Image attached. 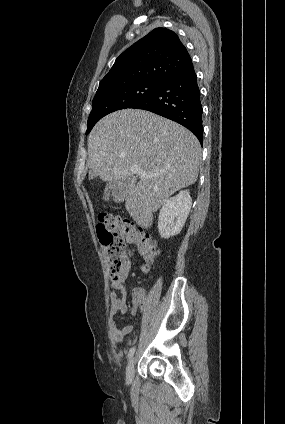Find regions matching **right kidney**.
<instances>
[{"mask_svg":"<svg viewBox=\"0 0 285 424\" xmlns=\"http://www.w3.org/2000/svg\"><path fill=\"white\" fill-rule=\"evenodd\" d=\"M191 206L189 190L180 191L176 196L164 201L158 218V230L162 238L169 239L180 233Z\"/></svg>","mask_w":285,"mask_h":424,"instance_id":"right-kidney-1","label":"right kidney"}]
</instances>
